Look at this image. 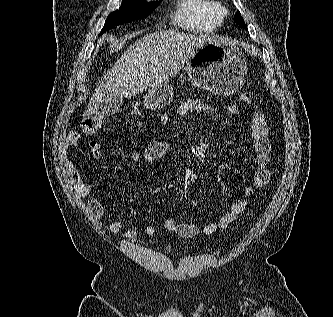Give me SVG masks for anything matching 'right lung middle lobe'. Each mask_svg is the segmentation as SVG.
I'll return each instance as SVG.
<instances>
[{
	"label": "right lung middle lobe",
	"mask_w": 333,
	"mask_h": 317,
	"mask_svg": "<svg viewBox=\"0 0 333 317\" xmlns=\"http://www.w3.org/2000/svg\"><path fill=\"white\" fill-rule=\"evenodd\" d=\"M157 6V2L147 3L143 0L122 1L119 10L112 12L106 19L101 33L116 25L147 17Z\"/></svg>",
	"instance_id": "1"
}]
</instances>
